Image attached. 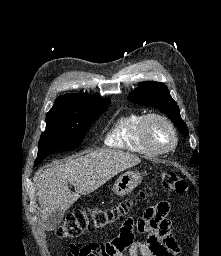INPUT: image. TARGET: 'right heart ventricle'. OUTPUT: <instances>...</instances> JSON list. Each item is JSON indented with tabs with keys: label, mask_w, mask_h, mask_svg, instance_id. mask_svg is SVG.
Instances as JSON below:
<instances>
[{
	"label": "right heart ventricle",
	"mask_w": 221,
	"mask_h": 256,
	"mask_svg": "<svg viewBox=\"0 0 221 256\" xmlns=\"http://www.w3.org/2000/svg\"><path fill=\"white\" fill-rule=\"evenodd\" d=\"M144 114L130 112L120 115L109 129L105 142L108 146L125 149L142 155L153 156L150 149L140 137L141 121Z\"/></svg>",
	"instance_id": "obj_1"
}]
</instances>
